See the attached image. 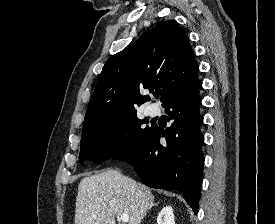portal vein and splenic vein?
Listing matches in <instances>:
<instances>
[{
    "label": "portal vein and splenic vein",
    "instance_id": "1",
    "mask_svg": "<svg viewBox=\"0 0 275 224\" xmlns=\"http://www.w3.org/2000/svg\"><path fill=\"white\" fill-rule=\"evenodd\" d=\"M123 223H127L129 221V218L126 214L120 215L118 217Z\"/></svg>",
    "mask_w": 275,
    "mask_h": 224
}]
</instances>
